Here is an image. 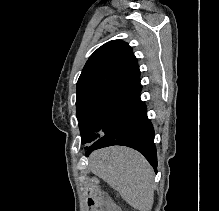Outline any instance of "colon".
I'll return each instance as SVG.
<instances>
[{
  "label": "colon",
  "mask_w": 219,
  "mask_h": 211,
  "mask_svg": "<svg viewBox=\"0 0 219 211\" xmlns=\"http://www.w3.org/2000/svg\"><path fill=\"white\" fill-rule=\"evenodd\" d=\"M87 195L88 206L91 208V211H95L98 208L99 202L102 198V192L99 188V183L96 178L90 179L89 186L87 188Z\"/></svg>",
  "instance_id": "5ec220e1"
}]
</instances>
